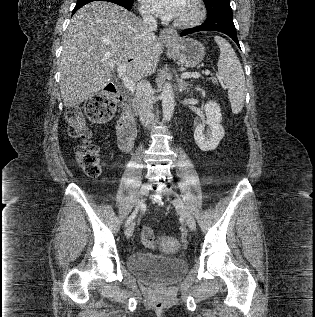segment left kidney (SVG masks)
<instances>
[{
	"label": "left kidney",
	"instance_id": "5707ae66",
	"mask_svg": "<svg viewBox=\"0 0 315 317\" xmlns=\"http://www.w3.org/2000/svg\"><path fill=\"white\" fill-rule=\"evenodd\" d=\"M207 121L196 127L194 139L198 147L203 151L214 150L220 140L224 137V128L220 124L222 114L219 105L214 101H209L204 106ZM205 124L208 125L209 131L204 132Z\"/></svg>",
	"mask_w": 315,
	"mask_h": 317
}]
</instances>
